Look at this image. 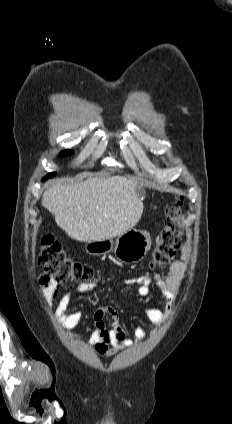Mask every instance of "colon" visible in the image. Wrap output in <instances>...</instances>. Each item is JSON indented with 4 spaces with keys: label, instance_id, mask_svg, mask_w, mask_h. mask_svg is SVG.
<instances>
[{
    "label": "colon",
    "instance_id": "obj_1",
    "mask_svg": "<svg viewBox=\"0 0 232 424\" xmlns=\"http://www.w3.org/2000/svg\"><path fill=\"white\" fill-rule=\"evenodd\" d=\"M182 204L183 199L178 196L165 209L164 223L157 236L152 254L153 266L168 264L177 253L180 239L184 233ZM38 262L43 268L39 283L46 289L51 288L54 284L67 281H92L101 278L97 270L72 258L61 244L49 235L42 238Z\"/></svg>",
    "mask_w": 232,
    "mask_h": 424
}]
</instances>
